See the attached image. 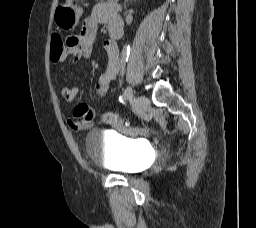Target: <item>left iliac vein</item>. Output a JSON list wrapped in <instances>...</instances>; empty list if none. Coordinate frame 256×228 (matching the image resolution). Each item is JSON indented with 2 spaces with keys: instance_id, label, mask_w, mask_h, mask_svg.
I'll return each instance as SVG.
<instances>
[{
  "instance_id": "obj_1",
  "label": "left iliac vein",
  "mask_w": 256,
  "mask_h": 228,
  "mask_svg": "<svg viewBox=\"0 0 256 228\" xmlns=\"http://www.w3.org/2000/svg\"><path fill=\"white\" fill-rule=\"evenodd\" d=\"M149 105L150 101L146 96L140 95L136 98V106L140 112H145L148 109Z\"/></svg>"
}]
</instances>
